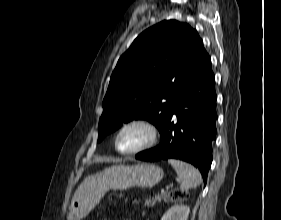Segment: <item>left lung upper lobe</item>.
Listing matches in <instances>:
<instances>
[{
  "label": "left lung upper lobe",
  "instance_id": "obj_1",
  "mask_svg": "<svg viewBox=\"0 0 281 220\" xmlns=\"http://www.w3.org/2000/svg\"><path fill=\"white\" fill-rule=\"evenodd\" d=\"M206 53L187 23L165 20L142 32L111 75L98 142L133 119L148 120L160 131L180 83Z\"/></svg>",
  "mask_w": 281,
  "mask_h": 220
}]
</instances>
